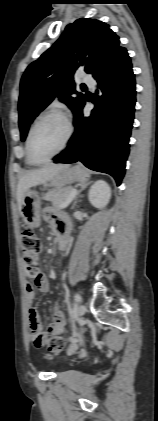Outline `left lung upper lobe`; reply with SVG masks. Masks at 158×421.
Masks as SVG:
<instances>
[{"label":"left lung upper lobe","instance_id":"left-lung-upper-lobe-1","mask_svg":"<svg viewBox=\"0 0 158 421\" xmlns=\"http://www.w3.org/2000/svg\"><path fill=\"white\" fill-rule=\"evenodd\" d=\"M119 48V37L102 21L80 18L69 24L54 45L23 74L18 104L21 140H25L29 125L56 95L75 117L86 100L75 90V70L84 68L94 76Z\"/></svg>","mask_w":158,"mask_h":421}]
</instances>
